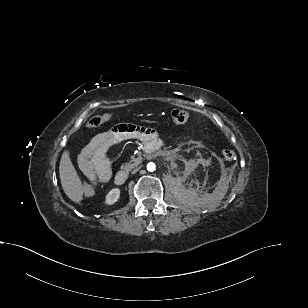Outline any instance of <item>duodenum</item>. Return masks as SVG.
<instances>
[{
  "label": "duodenum",
  "mask_w": 308,
  "mask_h": 308,
  "mask_svg": "<svg viewBox=\"0 0 308 308\" xmlns=\"http://www.w3.org/2000/svg\"><path fill=\"white\" fill-rule=\"evenodd\" d=\"M158 147L159 144L156 141H151L144 145L143 150L145 153L150 154L156 151ZM127 178H128V172L121 170L115 174L114 182L117 185H123L127 181Z\"/></svg>",
  "instance_id": "obj_1"
}]
</instances>
